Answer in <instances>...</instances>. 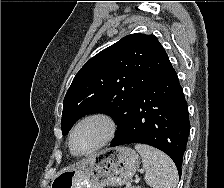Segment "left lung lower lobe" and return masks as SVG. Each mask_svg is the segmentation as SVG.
Wrapping results in <instances>:
<instances>
[{"instance_id": "obj_1", "label": "left lung lower lobe", "mask_w": 224, "mask_h": 188, "mask_svg": "<svg viewBox=\"0 0 224 188\" xmlns=\"http://www.w3.org/2000/svg\"><path fill=\"white\" fill-rule=\"evenodd\" d=\"M189 131L187 103L171 67L141 91L128 122L110 146L143 143L156 147L172 158L181 175Z\"/></svg>"}]
</instances>
